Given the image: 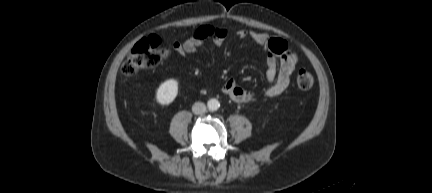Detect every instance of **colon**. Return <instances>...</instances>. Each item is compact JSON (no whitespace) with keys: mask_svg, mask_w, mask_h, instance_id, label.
I'll return each mask as SVG.
<instances>
[{"mask_svg":"<svg viewBox=\"0 0 432 193\" xmlns=\"http://www.w3.org/2000/svg\"><path fill=\"white\" fill-rule=\"evenodd\" d=\"M170 54V49L163 47L161 40L156 36L141 39L129 52L127 59L122 64L123 74L132 76L144 70L152 69L164 61ZM296 83L302 90H309L314 85L312 74L300 70L296 77Z\"/></svg>","mask_w":432,"mask_h":193,"instance_id":"5ec220e1","label":"colon"}]
</instances>
